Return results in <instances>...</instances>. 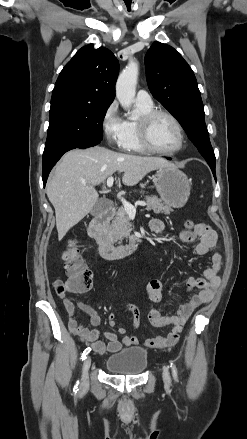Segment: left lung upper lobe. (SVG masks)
<instances>
[{"instance_id":"obj_1","label":"left lung upper lobe","mask_w":247,"mask_h":439,"mask_svg":"<svg viewBox=\"0 0 247 439\" xmlns=\"http://www.w3.org/2000/svg\"><path fill=\"white\" fill-rule=\"evenodd\" d=\"M145 68L154 98L180 122L210 168L215 167L204 107L190 66L173 47L156 41L145 56Z\"/></svg>"}]
</instances>
